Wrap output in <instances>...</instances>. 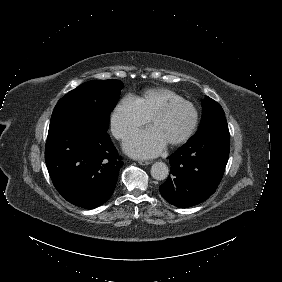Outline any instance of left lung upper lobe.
<instances>
[{
	"label": "left lung upper lobe",
	"instance_id": "obj_1",
	"mask_svg": "<svg viewBox=\"0 0 282 282\" xmlns=\"http://www.w3.org/2000/svg\"><path fill=\"white\" fill-rule=\"evenodd\" d=\"M202 107L203 113L198 131L217 123H226L224 111L216 101L206 96L202 100Z\"/></svg>",
	"mask_w": 282,
	"mask_h": 282
}]
</instances>
